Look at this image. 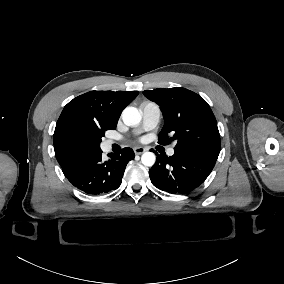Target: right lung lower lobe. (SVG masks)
I'll return each mask as SVG.
<instances>
[{"label": "right lung lower lobe", "mask_w": 284, "mask_h": 284, "mask_svg": "<svg viewBox=\"0 0 284 284\" xmlns=\"http://www.w3.org/2000/svg\"><path fill=\"white\" fill-rule=\"evenodd\" d=\"M102 159L101 149L62 167L64 175L79 190L90 195H99L116 190L122 181L127 163L134 159L131 148Z\"/></svg>", "instance_id": "right-lung-lower-lobe-1"}]
</instances>
